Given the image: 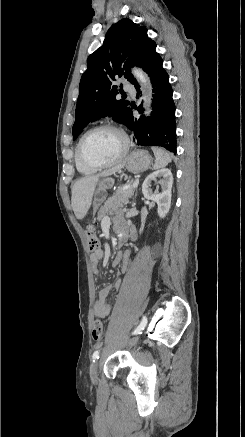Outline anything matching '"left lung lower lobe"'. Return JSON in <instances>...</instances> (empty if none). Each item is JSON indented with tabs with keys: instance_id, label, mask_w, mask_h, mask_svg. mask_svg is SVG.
<instances>
[{
	"instance_id": "1",
	"label": "left lung lower lobe",
	"mask_w": 245,
	"mask_h": 437,
	"mask_svg": "<svg viewBox=\"0 0 245 437\" xmlns=\"http://www.w3.org/2000/svg\"><path fill=\"white\" fill-rule=\"evenodd\" d=\"M154 47L144 57L140 67L148 73L153 89V111L151 116L134 118L130 106L126 126L133 131L137 145L161 146L172 153H176V122L175 105L172 99V88L169 77L162 67V59ZM139 91L136 80L132 83ZM140 92H138L139 94ZM138 111L143 112L139 107Z\"/></svg>"
}]
</instances>
